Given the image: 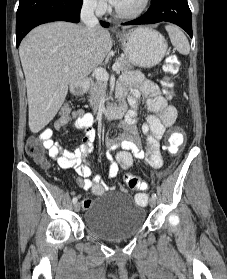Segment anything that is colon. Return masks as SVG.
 Wrapping results in <instances>:
<instances>
[{"label":"colon","instance_id":"1","mask_svg":"<svg viewBox=\"0 0 227 279\" xmlns=\"http://www.w3.org/2000/svg\"><path fill=\"white\" fill-rule=\"evenodd\" d=\"M178 64H179L178 60L172 59L168 69V75L163 79L164 87L166 88L170 96L174 95L173 92L174 82L170 75L177 72ZM68 110H69L68 107H65L66 116L68 115ZM184 140H185L184 133L180 129L177 128L173 129L169 134L167 146H166L169 154L176 155L179 149L182 147ZM26 149H27V153L34 159L36 163L47 165V161L43 153V148L37 140L35 139L30 140L27 143ZM125 183L130 189L139 191L135 198L138 204H143L147 202L148 195L145 192L146 184L142 180V178L134 174H127L125 176Z\"/></svg>","mask_w":227,"mask_h":279}]
</instances>
